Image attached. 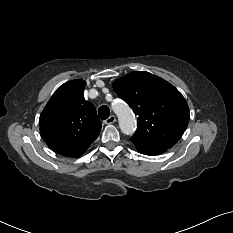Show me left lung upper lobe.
<instances>
[{"label": "left lung upper lobe", "mask_w": 233, "mask_h": 233, "mask_svg": "<svg viewBox=\"0 0 233 233\" xmlns=\"http://www.w3.org/2000/svg\"><path fill=\"white\" fill-rule=\"evenodd\" d=\"M116 94L138 115L134 144L172 147L189 122V108L170 83L149 72H132L113 83Z\"/></svg>", "instance_id": "5c2ea615"}]
</instances>
